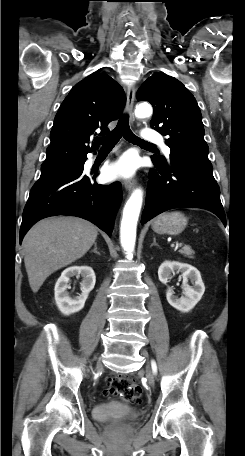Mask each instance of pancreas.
<instances>
[{"label": "pancreas", "mask_w": 245, "mask_h": 456, "mask_svg": "<svg viewBox=\"0 0 245 456\" xmlns=\"http://www.w3.org/2000/svg\"><path fill=\"white\" fill-rule=\"evenodd\" d=\"M179 252L188 258H194V251L191 249L190 246H184L182 249L179 250Z\"/></svg>", "instance_id": "1"}]
</instances>
